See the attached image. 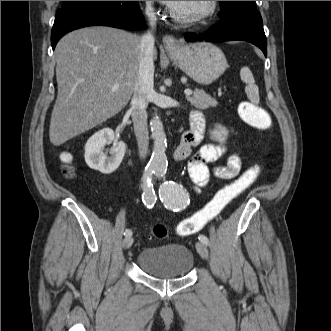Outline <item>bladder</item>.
<instances>
[{"label": "bladder", "instance_id": "31cf9c89", "mask_svg": "<svg viewBox=\"0 0 331 331\" xmlns=\"http://www.w3.org/2000/svg\"><path fill=\"white\" fill-rule=\"evenodd\" d=\"M138 267L157 279H176L187 276L194 267V256L181 243L149 246L137 257Z\"/></svg>", "mask_w": 331, "mask_h": 331}]
</instances>
